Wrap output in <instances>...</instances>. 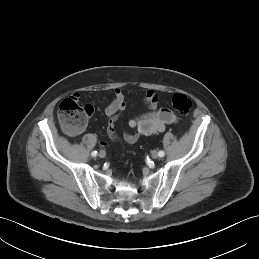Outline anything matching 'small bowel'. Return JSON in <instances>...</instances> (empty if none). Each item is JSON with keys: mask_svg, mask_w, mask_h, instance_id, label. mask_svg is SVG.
Returning <instances> with one entry per match:
<instances>
[{"mask_svg": "<svg viewBox=\"0 0 259 259\" xmlns=\"http://www.w3.org/2000/svg\"><path fill=\"white\" fill-rule=\"evenodd\" d=\"M143 101L149 110L129 121L128 124L132 131L124 133V139L128 143H135L142 136L161 133L165 130L166 125L178 123V118L173 112L166 108H159V97L155 91H147ZM87 106L91 110V113L89 114L90 117L92 116L94 109L90 104ZM125 108L126 101L122 90L119 88L114 89L113 100L105 109V114L110 118L107 133L112 141H120V138L115 131L113 121ZM100 144L104 146L107 142L102 140L100 141Z\"/></svg>", "mask_w": 259, "mask_h": 259, "instance_id": "c3829d8e", "label": "small bowel"}]
</instances>
